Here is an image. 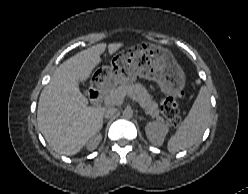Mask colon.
I'll return each instance as SVG.
<instances>
[{"label":"colon","mask_w":248,"mask_h":194,"mask_svg":"<svg viewBox=\"0 0 248 194\" xmlns=\"http://www.w3.org/2000/svg\"><path fill=\"white\" fill-rule=\"evenodd\" d=\"M183 97V92H177L166 96L161 101V113L174 126H179L182 118L179 113V103Z\"/></svg>","instance_id":"5ec220e1"}]
</instances>
